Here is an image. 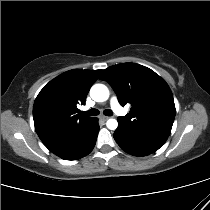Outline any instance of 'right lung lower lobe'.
Here are the masks:
<instances>
[{
    "label": "right lung lower lobe",
    "instance_id": "1",
    "mask_svg": "<svg viewBox=\"0 0 210 210\" xmlns=\"http://www.w3.org/2000/svg\"><path fill=\"white\" fill-rule=\"evenodd\" d=\"M98 131V119L94 118L89 126L69 136L51 152L65 160L80 159L93 150Z\"/></svg>",
    "mask_w": 210,
    "mask_h": 210
}]
</instances>
